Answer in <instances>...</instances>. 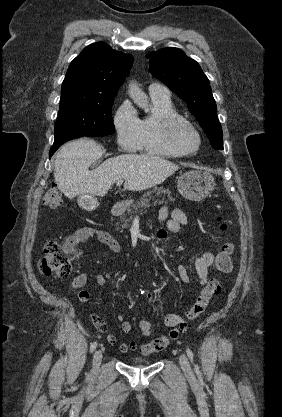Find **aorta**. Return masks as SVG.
Listing matches in <instances>:
<instances>
[{
	"label": "aorta",
	"instance_id": "aorta-1",
	"mask_svg": "<svg viewBox=\"0 0 282 417\" xmlns=\"http://www.w3.org/2000/svg\"><path fill=\"white\" fill-rule=\"evenodd\" d=\"M129 96L132 98L133 102L135 104H138L140 108H144V110H149V100L146 92L142 90V88H139L138 82L136 80H130L129 82V88H128Z\"/></svg>",
	"mask_w": 282,
	"mask_h": 417
}]
</instances>
